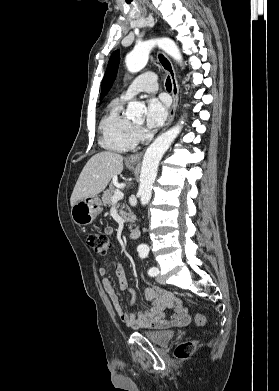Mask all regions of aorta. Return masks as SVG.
Here are the masks:
<instances>
[{
	"label": "aorta",
	"mask_w": 279,
	"mask_h": 391,
	"mask_svg": "<svg viewBox=\"0 0 279 391\" xmlns=\"http://www.w3.org/2000/svg\"><path fill=\"white\" fill-rule=\"evenodd\" d=\"M159 46L174 60L182 64V55L175 42L168 38L151 39L138 43L134 49L126 56L125 63L128 71L132 73L143 69L149 59V54L154 46ZM144 105L138 101L129 102L126 115L130 118H139L143 112ZM183 121L168 131L159 135L154 142L147 148L141 168L140 185L138 195L140 203L145 206L149 203L152 196V188L155 182L159 162L164 153L168 150L172 142L176 139L182 129Z\"/></svg>",
	"instance_id": "762f6f07"
}]
</instances>
